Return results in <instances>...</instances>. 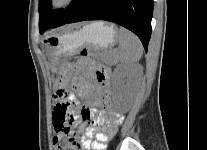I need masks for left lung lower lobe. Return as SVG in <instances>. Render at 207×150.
<instances>
[{"label":"left lung lower lobe","instance_id":"left-lung-lower-lobe-1","mask_svg":"<svg viewBox=\"0 0 207 150\" xmlns=\"http://www.w3.org/2000/svg\"><path fill=\"white\" fill-rule=\"evenodd\" d=\"M152 13L153 0H77L53 27L84 20H106L134 32L147 50Z\"/></svg>","mask_w":207,"mask_h":150}]
</instances>
